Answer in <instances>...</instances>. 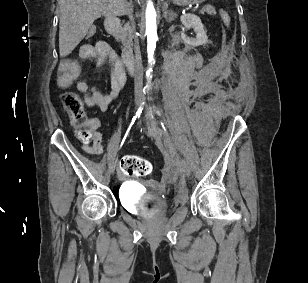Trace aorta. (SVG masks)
I'll return each mask as SVG.
<instances>
[{
    "label": "aorta",
    "mask_w": 308,
    "mask_h": 283,
    "mask_svg": "<svg viewBox=\"0 0 308 283\" xmlns=\"http://www.w3.org/2000/svg\"><path fill=\"white\" fill-rule=\"evenodd\" d=\"M145 18H146L148 59L149 63H151L152 65V63L154 64L153 55L157 41V25H156V11L151 1H149L147 4ZM151 72L152 68L150 67L146 72V76L149 77Z\"/></svg>",
    "instance_id": "obj_1"
}]
</instances>
